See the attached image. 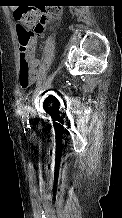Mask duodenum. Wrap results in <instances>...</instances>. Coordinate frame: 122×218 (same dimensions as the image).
Returning a JSON list of instances; mask_svg holds the SVG:
<instances>
[{"label":"duodenum","instance_id":"410a0bca","mask_svg":"<svg viewBox=\"0 0 122 218\" xmlns=\"http://www.w3.org/2000/svg\"><path fill=\"white\" fill-rule=\"evenodd\" d=\"M38 66H40V61L38 62Z\"/></svg>","mask_w":122,"mask_h":218}]
</instances>
